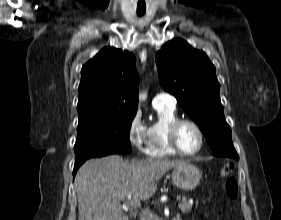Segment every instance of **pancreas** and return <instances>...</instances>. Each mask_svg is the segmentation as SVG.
Masks as SVG:
<instances>
[{"mask_svg": "<svg viewBox=\"0 0 281 220\" xmlns=\"http://www.w3.org/2000/svg\"><path fill=\"white\" fill-rule=\"evenodd\" d=\"M179 209L182 213H188L192 209V203H190L186 197H183L181 202L179 203Z\"/></svg>", "mask_w": 281, "mask_h": 220, "instance_id": "pancreas-1", "label": "pancreas"}]
</instances>
